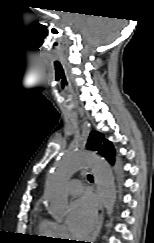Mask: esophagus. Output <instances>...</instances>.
<instances>
[{
	"label": "esophagus",
	"mask_w": 154,
	"mask_h": 243,
	"mask_svg": "<svg viewBox=\"0 0 154 243\" xmlns=\"http://www.w3.org/2000/svg\"><path fill=\"white\" fill-rule=\"evenodd\" d=\"M96 194L98 199L96 223L92 234L88 237L87 243H94L101 230L103 222V203L98 189H96Z\"/></svg>",
	"instance_id": "1"
}]
</instances>
